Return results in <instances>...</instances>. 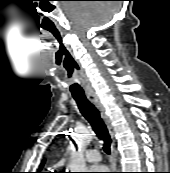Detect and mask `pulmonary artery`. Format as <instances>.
Here are the masks:
<instances>
[{
    "label": "pulmonary artery",
    "mask_w": 170,
    "mask_h": 173,
    "mask_svg": "<svg viewBox=\"0 0 170 173\" xmlns=\"http://www.w3.org/2000/svg\"><path fill=\"white\" fill-rule=\"evenodd\" d=\"M85 159L89 163H97L101 160L100 153L97 149H89L84 153Z\"/></svg>",
    "instance_id": "pulmonary-artery-1"
}]
</instances>
